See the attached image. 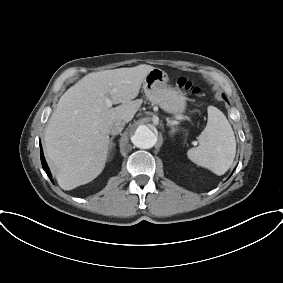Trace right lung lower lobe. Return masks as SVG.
Masks as SVG:
<instances>
[{
	"mask_svg": "<svg viewBox=\"0 0 283 283\" xmlns=\"http://www.w3.org/2000/svg\"><path fill=\"white\" fill-rule=\"evenodd\" d=\"M40 156H41V163H42V167L43 169L45 170V172L47 173L48 177L51 179V174L49 172V168L47 167V164L45 162V158H44V155H43V151H42V147H41V144H40Z\"/></svg>",
	"mask_w": 283,
	"mask_h": 283,
	"instance_id": "obj_1",
	"label": "right lung lower lobe"
}]
</instances>
